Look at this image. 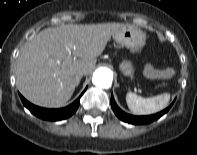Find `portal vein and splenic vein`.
Wrapping results in <instances>:
<instances>
[{"mask_svg":"<svg viewBox=\"0 0 197 155\" xmlns=\"http://www.w3.org/2000/svg\"><path fill=\"white\" fill-rule=\"evenodd\" d=\"M72 48H73L72 46L66 47V49H67L68 51H70Z\"/></svg>","mask_w":197,"mask_h":155,"instance_id":"portal-vein-and-splenic-vein-1","label":"portal vein and splenic vein"}]
</instances>
